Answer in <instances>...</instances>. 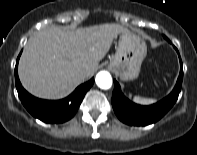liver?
<instances>
[{
    "label": "liver",
    "mask_w": 197,
    "mask_h": 155,
    "mask_svg": "<svg viewBox=\"0 0 197 155\" xmlns=\"http://www.w3.org/2000/svg\"><path fill=\"white\" fill-rule=\"evenodd\" d=\"M126 32L118 24L68 32L49 26L28 40L19 61L20 81L39 98H63L94 74L113 39Z\"/></svg>",
    "instance_id": "obj_1"
}]
</instances>
